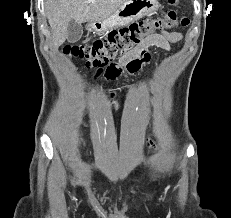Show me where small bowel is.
I'll use <instances>...</instances> for the list:
<instances>
[{
    "instance_id": "c3829d8e",
    "label": "small bowel",
    "mask_w": 231,
    "mask_h": 218,
    "mask_svg": "<svg viewBox=\"0 0 231 218\" xmlns=\"http://www.w3.org/2000/svg\"><path fill=\"white\" fill-rule=\"evenodd\" d=\"M182 38L179 32H162L150 36L146 42L131 53L122 57L117 63H110V66H104L102 69H95L93 72L97 75H103L108 81H113L121 74L137 72L142 65H150V58H136L143 50L148 47H158L164 50H170L171 44L178 42ZM125 68V69H124ZM111 97L113 93H110Z\"/></svg>"
}]
</instances>
